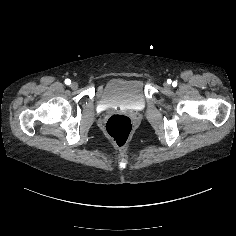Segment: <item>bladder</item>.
Returning <instances> with one entry per match:
<instances>
[{
    "mask_svg": "<svg viewBox=\"0 0 236 236\" xmlns=\"http://www.w3.org/2000/svg\"><path fill=\"white\" fill-rule=\"evenodd\" d=\"M144 87L137 77H115L107 81L101 98L110 107L125 106L136 109L144 104Z\"/></svg>",
    "mask_w": 236,
    "mask_h": 236,
    "instance_id": "obj_1",
    "label": "bladder"
}]
</instances>
